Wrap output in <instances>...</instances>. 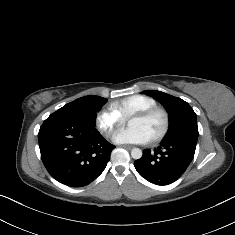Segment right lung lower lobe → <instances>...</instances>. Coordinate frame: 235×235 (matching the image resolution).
Segmentation results:
<instances>
[{"label":"right lung lower lobe","instance_id":"obj_1","mask_svg":"<svg viewBox=\"0 0 235 235\" xmlns=\"http://www.w3.org/2000/svg\"><path fill=\"white\" fill-rule=\"evenodd\" d=\"M38 141L49 174L71 187L88 185L97 178L115 148L95 127L52 114L40 127Z\"/></svg>","mask_w":235,"mask_h":235}]
</instances>
